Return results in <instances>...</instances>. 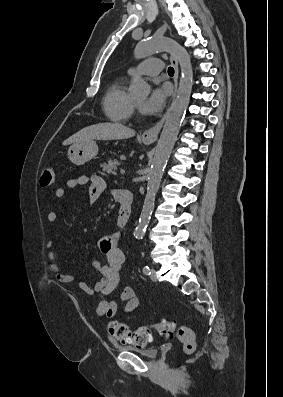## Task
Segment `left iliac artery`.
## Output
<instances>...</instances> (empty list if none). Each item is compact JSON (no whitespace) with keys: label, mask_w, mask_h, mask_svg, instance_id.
<instances>
[{"label":"left iliac artery","mask_w":283,"mask_h":397,"mask_svg":"<svg viewBox=\"0 0 283 397\" xmlns=\"http://www.w3.org/2000/svg\"><path fill=\"white\" fill-rule=\"evenodd\" d=\"M143 273H144L145 275H150V268H149L148 266H144V267H143Z\"/></svg>","instance_id":"44dca946"}]
</instances>
